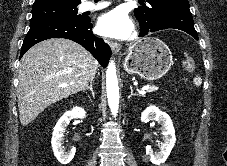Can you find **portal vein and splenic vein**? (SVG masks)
<instances>
[{"label": "portal vein and splenic vein", "mask_w": 227, "mask_h": 166, "mask_svg": "<svg viewBox=\"0 0 227 166\" xmlns=\"http://www.w3.org/2000/svg\"><path fill=\"white\" fill-rule=\"evenodd\" d=\"M150 89V86L146 85L142 87V91H148Z\"/></svg>", "instance_id": "18ae733b"}]
</instances>
